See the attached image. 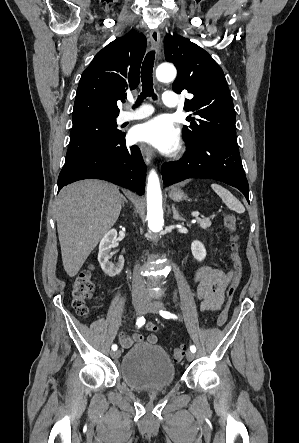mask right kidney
<instances>
[{
    "instance_id": "obj_1",
    "label": "right kidney",
    "mask_w": 299,
    "mask_h": 443,
    "mask_svg": "<svg viewBox=\"0 0 299 443\" xmlns=\"http://www.w3.org/2000/svg\"><path fill=\"white\" fill-rule=\"evenodd\" d=\"M116 239L117 231L111 229L103 236L99 244L98 261L104 273L110 277L118 275L124 266L123 256L119 257V261L116 265L110 261V250L115 246Z\"/></svg>"
}]
</instances>
